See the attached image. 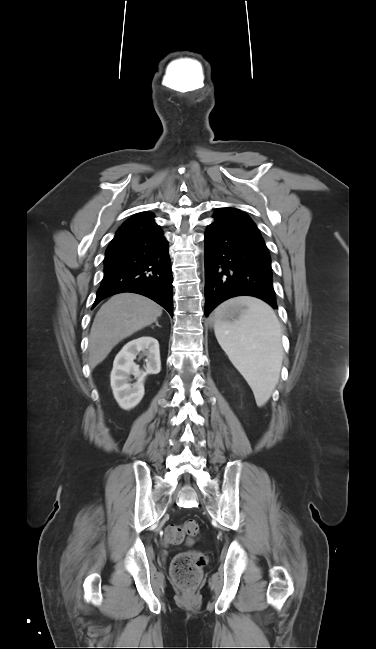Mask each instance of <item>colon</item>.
Listing matches in <instances>:
<instances>
[{"instance_id": "1", "label": "colon", "mask_w": 376, "mask_h": 649, "mask_svg": "<svg viewBox=\"0 0 376 649\" xmlns=\"http://www.w3.org/2000/svg\"><path fill=\"white\" fill-rule=\"evenodd\" d=\"M199 532L195 520H186L180 525L166 528L163 541L168 545H178L187 537H194ZM207 562L205 554L199 551H187L178 554L172 561L170 573L175 584L185 591H192L199 583L202 568Z\"/></svg>"}]
</instances>
